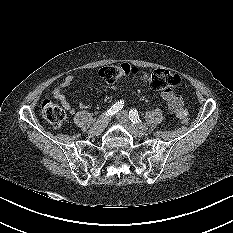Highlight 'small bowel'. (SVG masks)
Returning <instances> with one entry per match:
<instances>
[{
    "label": "small bowel",
    "instance_id": "obj_1",
    "mask_svg": "<svg viewBox=\"0 0 233 233\" xmlns=\"http://www.w3.org/2000/svg\"><path fill=\"white\" fill-rule=\"evenodd\" d=\"M74 80V77L72 75H67L60 83V85L53 90V96L61 102L62 106L70 113L74 114L75 109L74 107L68 102L63 89L68 87ZM161 96L164 100L168 102V107L172 111V113L175 115V117L178 120H183L184 118H187L188 111L184 107V103L182 98L174 93L173 91H162ZM80 109H88L90 108L89 103H80L79 104Z\"/></svg>",
    "mask_w": 233,
    "mask_h": 233
}]
</instances>
